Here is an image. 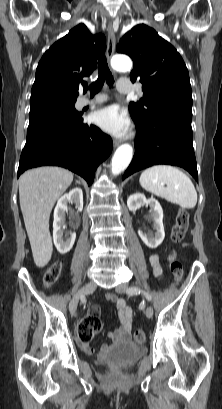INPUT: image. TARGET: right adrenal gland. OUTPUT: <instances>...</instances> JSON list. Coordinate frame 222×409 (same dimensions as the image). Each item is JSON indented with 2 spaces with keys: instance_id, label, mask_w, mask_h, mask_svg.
I'll return each instance as SVG.
<instances>
[{
  "instance_id": "1",
  "label": "right adrenal gland",
  "mask_w": 222,
  "mask_h": 409,
  "mask_svg": "<svg viewBox=\"0 0 222 409\" xmlns=\"http://www.w3.org/2000/svg\"><path fill=\"white\" fill-rule=\"evenodd\" d=\"M76 183H77V184H80V182H79V181H76Z\"/></svg>"
}]
</instances>
